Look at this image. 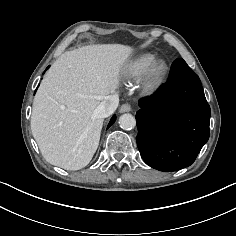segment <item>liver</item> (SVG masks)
Instances as JSON below:
<instances>
[{
	"label": "liver",
	"mask_w": 236,
	"mask_h": 236,
	"mask_svg": "<svg viewBox=\"0 0 236 236\" xmlns=\"http://www.w3.org/2000/svg\"><path fill=\"white\" fill-rule=\"evenodd\" d=\"M131 51L120 44L90 45L65 52L53 63L31 116L33 137L50 164L79 170L91 161L104 121L97 108L115 92Z\"/></svg>",
	"instance_id": "obj_1"
}]
</instances>
